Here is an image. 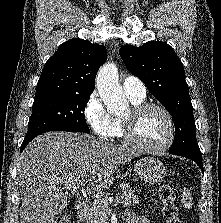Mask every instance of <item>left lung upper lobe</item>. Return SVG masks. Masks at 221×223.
I'll use <instances>...</instances> for the list:
<instances>
[{
  "mask_svg": "<svg viewBox=\"0 0 221 223\" xmlns=\"http://www.w3.org/2000/svg\"><path fill=\"white\" fill-rule=\"evenodd\" d=\"M127 69L146 85L173 116L175 138L169 151H200L196 141L193 107L182 62L165 42L119 49Z\"/></svg>",
  "mask_w": 221,
  "mask_h": 223,
  "instance_id": "left-lung-upper-lobe-1",
  "label": "left lung upper lobe"
}]
</instances>
